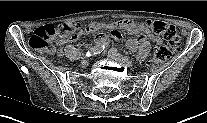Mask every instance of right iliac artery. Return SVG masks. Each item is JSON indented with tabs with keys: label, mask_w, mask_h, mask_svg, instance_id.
<instances>
[{
	"label": "right iliac artery",
	"mask_w": 207,
	"mask_h": 123,
	"mask_svg": "<svg viewBox=\"0 0 207 123\" xmlns=\"http://www.w3.org/2000/svg\"><path fill=\"white\" fill-rule=\"evenodd\" d=\"M105 45L104 44H99V45H96L94 47H92L91 49H89L86 54H85V57H91L93 55H97V54H100L102 51H104L105 49Z\"/></svg>",
	"instance_id": "obj_1"
}]
</instances>
